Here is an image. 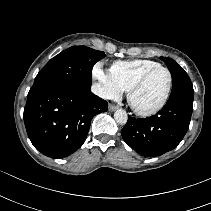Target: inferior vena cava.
Wrapping results in <instances>:
<instances>
[{"instance_id":"obj_1","label":"inferior vena cava","mask_w":211,"mask_h":211,"mask_svg":"<svg viewBox=\"0 0 211 211\" xmlns=\"http://www.w3.org/2000/svg\"><path fill=\"white\" fill-rule=\"evenodd\" d=\"M91 91L102 98H108L107 91L98 83L92 85Z\"/></svg>"}]
</instances>
